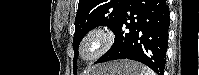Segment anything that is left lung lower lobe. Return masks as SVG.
<instances>
[{
  "instance_id": "1",
  "label": "left lung lower lobe",
  "mask_w": 199,
  "mask_h": 75,
  "mask_svg": "<svg viewBox=\"0 0 199 75\" xmlns=\"http://www.w3.org/2000/svg\"><path fill=\"white\" fill-rule=\"evenodd\" d=\"M169 25L166 0H129L114 31L113 46L95 64L131 59L163 75Z\"/></svg>"
}]
</instances>
